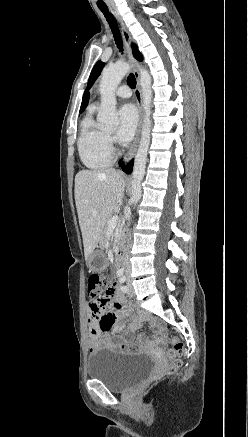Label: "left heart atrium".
I'll return each mask as SVG.
<instances>
[{
  "label": "left heart atrium",
  "mask_w": 248,
  "mask_h": 437,
  "mask_svg": "<svg viewBox=\"0 0 248 437\" xmlns=\"http://www.w3.org/2000/svg\"><path fill=\"white\" fill-rule=\"evenodd\" d=\"M119 125L117 129V138L122 142L132 139L137 123L138 113L134 105L125 104L118 111Z\"/></svg>",
  "instance_id": "left-heart-atrium-1"
}]
</instances>
